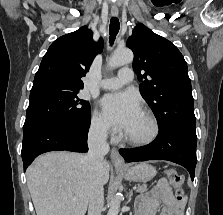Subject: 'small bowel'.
Masks as SVG:
<instances>
[{"label": "small bowel", "mask_w": 223, "mask_h": 215, "mask_svg": "<svg viewBox=\"0 0 223 215\" xmlns=\"http://www.w3.org/2000/svg\"><path fill=\"white\" fill-rule=\"evenodd\" d=\"M184 205V201L175 199L168 182L163 179L150 193L138 199L136 215H155L161 206L159 215H184Z\"/></svg>", "instance_id": "small-bowel-1"}]
</instances>
